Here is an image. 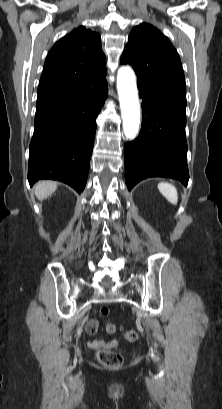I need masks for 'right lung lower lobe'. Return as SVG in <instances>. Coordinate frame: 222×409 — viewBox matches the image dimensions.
Returning a JSON list of instances; mask_svg holds the SVG:
<instances>
[{
    "mask_svg": "<svg viewBox=\"0 0 222 409\" xmlns=\"http://www.w3.org/2000/svg\"><path fill=\"white\" fill-rule=\"evenodd\" d=\"M106 74L90 78L75 96L36 106L29 147L28 180L62 181L78 193L85 188L93 149L96 117L107 97Z\"/></svg>",
    "mask_w": 222,
    "mask_h": 409,
    "instance_id": "obj_1",
    "label": "right lung lower lobe"
}]
</instances>
